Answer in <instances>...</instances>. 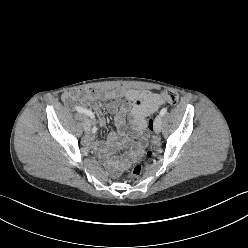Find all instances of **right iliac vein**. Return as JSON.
Instances as JSON below:
<instances>
[{"label": "right iliac vein", "mask_w": 248, "mask_h": 248, "mask_svg": "<svg viewBox=\"0 0 248 248\" xmlns=\"http://www.w3.org/2000/svg\"><path fill=\"white\" fill-rule=\"evenodd\" d=\"M84 130L85 132H88L90 130V121L88 120V118L84 119Z\"/></svg>", "instance_id": "1"}]
</instances>
